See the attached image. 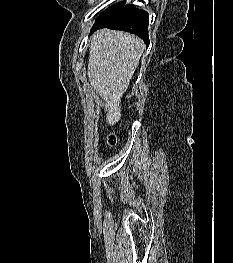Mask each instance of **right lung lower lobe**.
<instances>
[{"label":"right lung lower lobe","instance_id":"1","mask_svg":"<svg viewBox=\"0 0 233 263\" xmlns=\"http://www.w3.org/2000/svg\"><path fill=\"white\" fill-rule=\"evenodd\" d=\"M148 24L149 15L146 11L137 9L134 5H127L109 22L95 23L91 29V33L103 27L124 30L138 35L148 46Z\"/></svg>","mask_w":233,"mask_h":263}]
</instances>
